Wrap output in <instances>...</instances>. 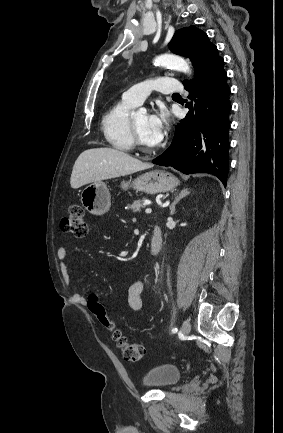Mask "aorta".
Segmentation results:
<instances>
[{
	"label": "aorta",
	"mask_w": 283,
	"mask_h": 433,
	"mask_svg": "<svg viewBox=\"0 0 283 433\" xmlns=\"http://www.w3.org/2000/svg\"><path fill=\"white\" fill-rule=\"evenodd\" d=\"M155 65H160L163 67L172 68L174 70L183 72L185 74H190L191 69L189 64L181 57L173 54H163L155 58L154 60ZM144 112L143 109L139 110V113ZM138 113L133 112L132 116L136 115Z\"/></svg>",
	"instance_id": "aorta-1"
}]
</instances>
